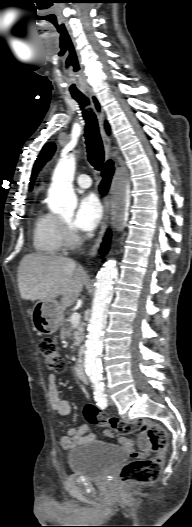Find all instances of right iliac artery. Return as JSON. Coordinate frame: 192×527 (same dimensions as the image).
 <instances>
[{"label": "right iliac artery", "instance_id": "82829eb1", "mask_svg": "<svg viewBox=\"0 0 192 527\" xmlns=\"http://www.w3.org/2000/svg\"><path fill=\"white\" fill-rule=\"evenodd\" d=\"M94 397L97 401V404L104 409L107 406V398L104 393V385L102 383L96 384L94 386Z\"/></svg>", "mask_w": 192, "mask_h": 527}]
</instances>
